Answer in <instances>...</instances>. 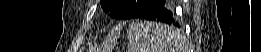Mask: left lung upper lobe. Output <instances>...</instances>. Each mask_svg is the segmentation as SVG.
Listing matches in <instances>:
<instances>
[{
    "instance_id": "obj_1",
    "label": "left lung upper lobe",
    "mask_w": 261,
    "mask_h": 52,
    "mask_svg": "<svg viewBox=\"0 0 261 52\" xmlns=\"http://www.w3.org/2000/svg\"><path fill=\"white\" fill-rule=\"evenodd\" d=\"M154 2L155 0H100L104 10L110 11L111 16L115 19L137 18Z\"/></svg>"
}]
</instances>
